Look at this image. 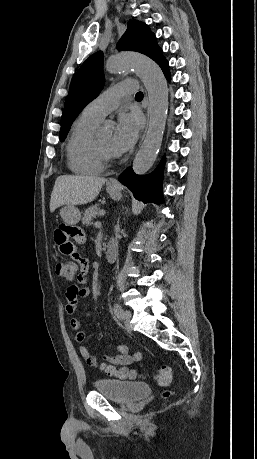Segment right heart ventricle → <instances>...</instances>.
<instances>
[{
    "label": "right heart ventricle",
    "instance_id": "1",
    "mask_svg": "<svg viewBox=\"0 0 257 459\" xmlns=\"http://www.w3.org/2000/svg\"><path fill=\"white\" fill-rule=\"evenodd\" d=\"M100 120L82 113L75 121L66 145L68 166L79 175L99 174L104 163L95 150V129Z\"/></svg>",
    "mask_w": 257,
    "mask_h": 459
}]
</instances>
